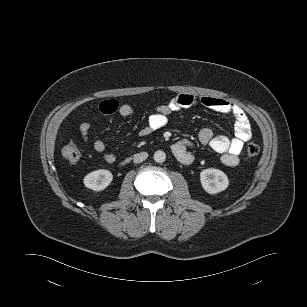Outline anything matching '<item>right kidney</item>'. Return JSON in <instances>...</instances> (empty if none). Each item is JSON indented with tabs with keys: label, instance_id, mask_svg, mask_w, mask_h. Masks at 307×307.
<instances>
[{
	"label": "right kidney",
	"instance_id": "ca27d5eb",
	"mask_svg": "<svg viewBox=\"0 0 307 307\" xmlns=\"http://www.w3.org/2000/svg\"><path fill=\"white\" fill-rule=\"evenodd\" d=\"M113 180V175L110 171L100 169L87 174L84 179V185L94 191L104 190Z\"/></svg>",
	"mask_w": 307,
	"mask_h": 307
}]
</instances>
